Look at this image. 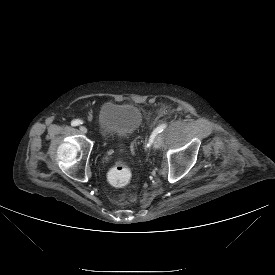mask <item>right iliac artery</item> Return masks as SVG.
<instances>
[{
    "label": "right iliac artery",
    "mask_w": 275,
    "mask_h": 275,
    "mask_svg": "<svg viewBox=\"0 0 275 275\" xmlns=\"http://www.w3.org/2000/svg\"><path fill=\"white\" fill-rule=\"evenodd\" d=\"M80 124H82V121H81V120H78V119L73 120V121L71 122V125H72V126H78V125H80Z\"/></svg>",
    "instance_id": "right-iliac-artery-1"
}]
</instances>
